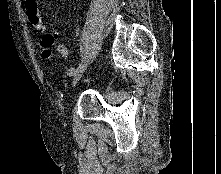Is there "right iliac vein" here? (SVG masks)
Wrapping results in <instances>:
<instances>
[{
  "label": "right iliac vein",
  "instance_id": "obj_1",
  "mask_svg": "<svg viewBox=\"0 0 221 174\" xmlns=\"http://www.w3.org/2000/svg\"><path fill=\"white\" fill-rule=\"evenodd\" d=\"M88 61H84L80 64V66L77 68L73 75V80H72V87H75L80 78L82 77V74L85 70V67L87 66Z\"/></svg>",
  "mask_w": 221,
  "mask_h": 174
}]
</instances>
